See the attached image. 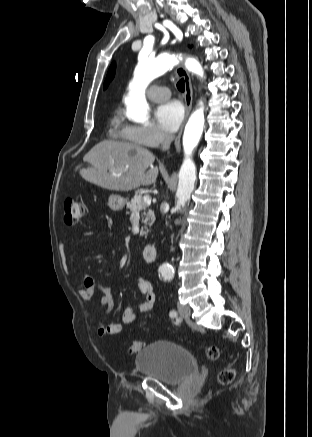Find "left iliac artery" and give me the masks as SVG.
<instances>
[{
  "mask_svg": "<svg viewBox=\"0 0 312 437\" xmlns=\"http://www.w3.org/2000/svg\"><path fill=\"white\" fill-rule=\"evenodd\" d=\"M177 316V312L176 311H174V310H172V311H170V317H176Z\"/></svg>",
  "mask_w": 312,
  "mask_h": 437,
  "instance_id": "obj_1",
  "label": "left iliac artery"
}]
</instances>
